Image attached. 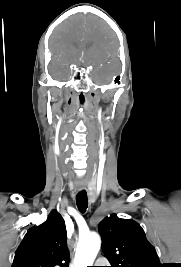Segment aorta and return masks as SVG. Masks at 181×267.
<instances>
[{
	"mask_svg": "<svg viewBox=\"0 0 181 267\" xmlns=\"http://www.w3.org/2000/svg\"><path fill=\"white\" fill-rule=\"evenodd\" d=\"M101 247V238L97 233H89L79 238L76 248L75 267L92 266Z\"/></svg>",
	"mask_w": 181,
	"mask_h": 267,
	"instance_id": "obj_1",
	"label": "aorta"
}]
</instances>
